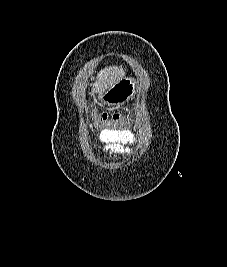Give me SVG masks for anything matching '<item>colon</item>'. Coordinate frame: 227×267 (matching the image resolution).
<instances>
[{
  "instance_id": "1",
  "label": "colon",
  "mask_w": 227,
  "mask_h": 267,
  "mask_svg": "<svg viewBox=\"0 0 227 267\" xmlns=\"http://www.w3.org/2000/svg\"><path fill=\"white\" fill-rule=\"evenodd\" d=\"M119 114L120 111H117V114H108V110H101V115L96 116L97 130H107V125H103L107 119L112 120L111 124H120ZM126 124H129V121H126ZM109 130H124V125H109Z\"/></svg>"
}]
</instances>
